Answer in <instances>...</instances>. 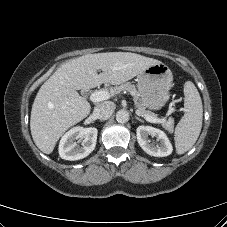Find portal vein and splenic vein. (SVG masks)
<instances>
[{
	"instance_id": "portal-vein-and-splenic-vein-1",
	"label": "portal vein and splenic vein",
	"mask_w": 227,
	"mask_h": 227,
	"mask_svg": "<svg viewBox=\"0 0 227 227\" xmlns=\"http://www.w3.org/2000/svg\"><path fill=\"white\" fill-rule=\"evenodd\" d=\"M109 98H110V93L107 90L95 91L90 95V100L92 102H100L103 100H107ZM143 116L148 122H151V123H161V121L163 120L150 115H143Z\"/></svg>"
}]
</instances>
